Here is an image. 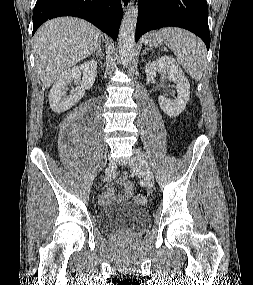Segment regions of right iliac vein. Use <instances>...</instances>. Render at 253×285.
<instances>
[{"label": "right iliac vein", "instance_id": "obj_1", "mask_svg": "<svg viewBox=\"0 0 253 285\" xmlns=\"http://www.w3.org/2000/svg\"><path fill=\"white\" fill-rule=\"evenodd\" d=\"M115 169H116V163L115 162H111L109 164V166L107 167V169H106L107 175L111 176L114 173Z\"/></svg>", "mask_w": 253, "mask_h": 285}]
</instances>
